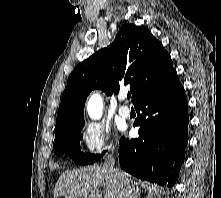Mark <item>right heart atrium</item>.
I'll return each instance as SVG.
<instances>
[{
    "mask_svg": "<svg viewBox=\"0 0 221 198\" xmlns=\"http://www.w3.org/2000/svg\"><path fill=\"white\" fill-rule=\"evenodd\" d=\"M80 138L84 149L91 156H98L112 146L109 129L99 123L87 124L83 128Z\"/></svg>",
    "mask_w": 221,
    "mask_h": 198,
    "instance_id": "d8ad5b80",
    "label": "right heart atrium"
}]
</instances>
